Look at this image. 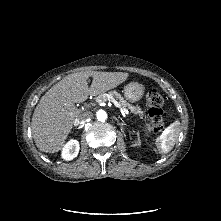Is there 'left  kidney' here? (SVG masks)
Segmentation results:
<instances>
[{"mask_svg":"<svg viewBox=\"0 0 221 221\" xmlns=\"http://www.w3.org/2000/svg\"><path fill=\"white\" fill-rule=\"evenodd\" d=\"M140 145H141V141H140V138H139V135H138V141L133 146H140Z\"/></svg>","mask_w":221,"mask_h":221,"instance_id":"left-kidney-1","label":"left kidney"}]
</instances>
